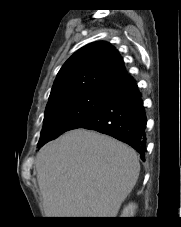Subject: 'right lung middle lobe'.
<instances>
[{
	"label": "right lung middle lobe",
	"instance_id": "1",
	"mask_svg": "<svg viewBox=\"0 0 181 227\" xmlns=\"http://www.w3.org/2000/svg\"><path fill=\"white\" fill-rule=\"evenodd\" d=\"M111 89H98L59 98L47 105L38 147L71 130L95 113Z\"/></svg>",
	"mask_w": 181,
	"mask_h": 227
}]
</instances>
